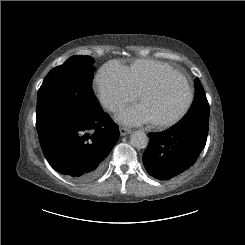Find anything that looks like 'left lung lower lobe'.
<instances>
[{
    "instance_id": "1",
    "label": "left lung lower lobe",
    "mask_w": 245,
    "mask_h": 245,
    "mask_svg": "<svg viewBox=\"0 0 245 245\" xmlns=\"http://www.w3.org/2000/svg\"><path fill=\"white\" fill-rule=\"evenodd\" d=\"M208 131L198 128H175L149 133L150 141L143 154L149 174L172 179L194 165L205 147Z\"/></svg>"
}]
</instances>
